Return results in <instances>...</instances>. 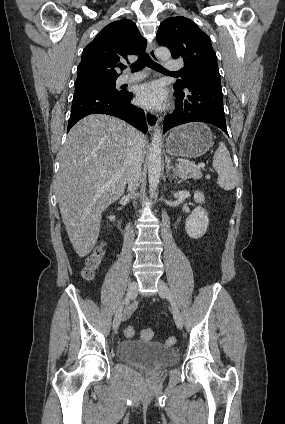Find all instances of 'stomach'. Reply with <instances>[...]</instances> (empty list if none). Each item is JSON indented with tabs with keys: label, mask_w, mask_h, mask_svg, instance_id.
I'll return each instance as SVG.
<instances>
[{
	"label": "stomach",
	"mask_w": 285,
	"mask_h": 424,
	"mask_svg": "<svg viewBox=\"0 0 285 424\" xmlns=\"http://www.w3.org/2000/svg\"><path fill=\"white\" fill-rule=\"evenodd\" d=\"M213 143L210 128L203 123H189L173 129L166 139L170 155L196 158L205 154Z\"/></svg>",
	"instance_id": "0dacf381"
}]
</instances>
